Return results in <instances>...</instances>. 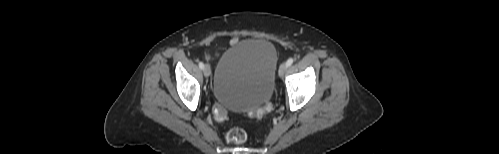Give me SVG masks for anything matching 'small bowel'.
<instances>
[{
  "mask_svg": "<svg viewBox=\"0 0 499 154\" xmlns=\"http://www.w3.org/2000/svg\"><path fill=\"white\" fill-rule=\"evenodd\" d=\"M240 39L235 37V38H232L231 41H230V45L231 46H235L239 43Z\"/></svg>",
  "mask_w": 499,
  "mask_h": 154,
  "instance_id": "c3829d8e",
  "label": "small bowel"
}]
</instances>
